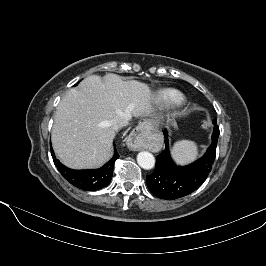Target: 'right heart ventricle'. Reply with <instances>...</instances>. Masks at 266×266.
Wrapping results in <instances>:
<instances>
[{
    "label": "right heart ventricle",
    "mask_w": 266,
    "mask_h": 266,
    "mask_svg": "<svg viewBox=\"0 0 266 266\" xmlns=\"http://www.w3.org/2000/svg\"><path fill=\"white\" fill-rule=\"evenodd\" d=\"M157 101L163 108H172L182 105L185 97L175 89H166L159 93Z\"/></svg>",
    "instance_id": "1"
}]
</instances>
